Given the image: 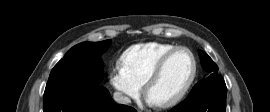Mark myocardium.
Here are the masks:
<instances>
[{
	"label": "myocardium",
	"mask_w": 270,
	"mask_h": 112,
	"mask_svg": "<svg viewBox=\"0 0 270 112\" xmlns=\"http://www.w3.org/2000/svg\"><path fill=\"white\" fill-rule=\"evenodd\" d=\"M179 51H186L190 55L191 60H192V72H191V75H190L188 81L184 85V87L175 96H173L172 98H170L166 101L158 103V105L162 108H168V107H172V106L178 104L187 95V93L191 89V87L194 84L195 79L197 77L198 64H197V59H196L194 53L188 47L176 46L175 48H173L172 50L167 52L158 61V63L156 64V66L154 67V69L152 70L150 75L148 76V78L145 82V86H144L145 94L148 96L150 87L161 76L162 72L165 69V66L167 65V63L171 59V57Z\"/></svg>",
	"instance_id": "myocardium-1"
}]
</instances>
